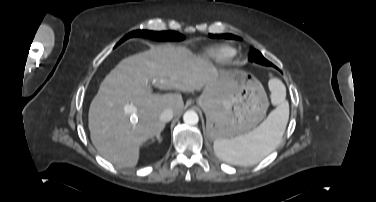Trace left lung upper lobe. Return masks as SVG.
<instances>
[{
    "instance_id": "left-lung-upper-lobe-1",
    "label": "left lung upper lobe",
    "mask_w": 376,
    "mask_h": 202,
    "mask_svg": "<svg viewBox=\"0 0 376 202\" xmlns=\"http://www.w3.org/2000/svg\"><path fill=\"white\" fill-rule=\"evenodd\" d=\"M209 36L211 38H218V39H221V38L236 39V40L240 39L239 37H237L235 35H232V34H221V35H218V34H215V35L209 34ZM249 60L250 61H255L256 63L262 64V65H266V66H272L273 65L268 60H266L263 57V55L258 50H255V49H252V53L249 56Z\"/></svg>"
}]
</instances>
